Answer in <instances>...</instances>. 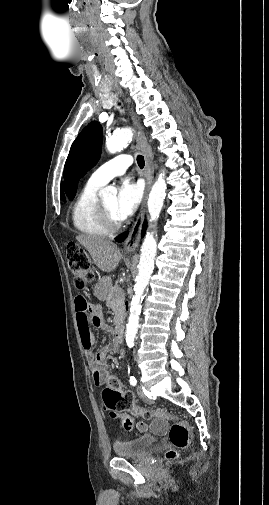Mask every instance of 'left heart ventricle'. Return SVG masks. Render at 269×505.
I'll use <instances>...</instances> for the list:
<instances>
[{
    "mask_svg": "<svg viewBox=\"0 0 269 505\" xmlns=\"http://www.w3.org/2000/svg\"><path fill=\"white\" fill-rule=\"evenodd\" d=\"M102 202H103L104 206L106 207V209L108 210V212L110 213V215L115 220H119V218L117 217L116 212H115L116 196L108 197V198L104 199Z\"/></svg>",
    "mask_w": 269,
    "mask_h": 505,
    "instance_id": "b2bd125f",
    "label": "left heart ventricle"
}]
</instances>
